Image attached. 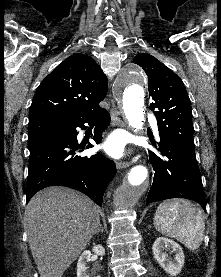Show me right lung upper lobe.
Returning <instances> with one entry per match:
<instances>
[{"label":"right lung upper lobe","instance_id":"obj_1","mask_svg":"<svg viewBox=\"0 0 221 277\" xmlns=\"http://www.w3.org/2000/svg\"><path fill=\"white\" fill-rule=\"evenodd\" d=\"M107 90V78L91 57L71 55L37 88L29 125L92 114L101 109Z\"/></svg>","mask_w":221,"mask_h":277}]
</instances>
